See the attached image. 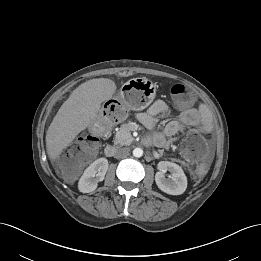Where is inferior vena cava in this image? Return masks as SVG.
Wrapping results in <instances>:
<instances>
[{
    "label": "inferior vena cava",
    "instance_id": "obj_1",
    "mask_svg": "<svg viewBox=\"0 0 261 261\" xmlns=\"http://www.w3.org/2000/svg\"><path fill=\"white\" fill-rule=\"evenodd\" d=\"M129 152H130V148H128V147L117 148L114 153V157L115 158H124L129 155Z\"/></svg>",
    "mask_w": 261,
    "mask_h": 261
}]
</instances>
